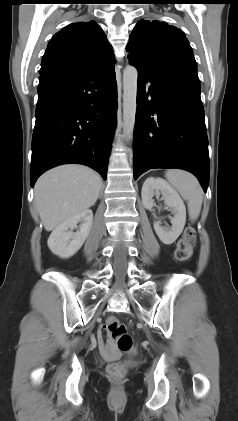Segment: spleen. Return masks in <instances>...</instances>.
Returning a JSON list of instances; mask_svg holds the SVG:
<instances>
[{
  "instance_id": "obj_1",
  "label": "spleen",
  "mask_w": 238,
  "mask_h": 421,
  "mask_svg": "<svg viewBox=\"0 0 238 421\" xmlns=\"http://www.w3.org/2000/svg\"><path fill=\"white\" fill-rule=\"evenodd\" d=\"M165 178L187 201L190 219L196 220L200 215L203 202V191L197 178L193 174L179 169L167 170Z\"/></svg>"
}]
</instances>
